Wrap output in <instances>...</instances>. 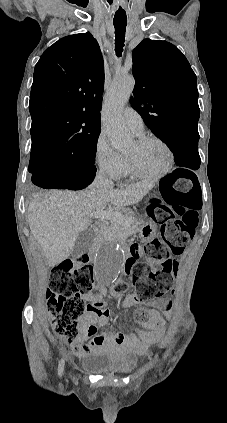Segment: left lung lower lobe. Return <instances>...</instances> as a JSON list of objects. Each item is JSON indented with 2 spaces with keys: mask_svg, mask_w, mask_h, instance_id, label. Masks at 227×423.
I'll list each match as a JSON object with an SVG mask.
<instances>
[{
  "mask_svg": "<svg viewBox=\"0 0 227 423\" xmlns=\"http://www.w3.org/2000/svg\"><path fill=\"white\" fill-rule=\"evenodd\" d=\"M198 140L199 134L192 133L172 137L164 142L173 152L176 165L197 170L200 167ZM173 175H182L186 178L196 177L193 172L187 169H176Z\"/></svg>",
  "mask_w": 227,
  "mask_h": 423,
  "instance_id": "obj_1",
  "label": "left lung lower lobe"
}]
</instances>
